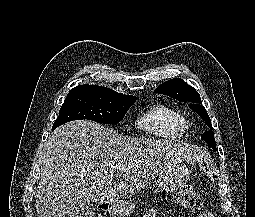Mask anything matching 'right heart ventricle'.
<instances>
[{"label": "right heart ventricle", "mask_w": 255, "mask_h": 217, "mask_svg": "<svg viewBox=\"0 0 255 217\" xmlns=\"http://www.w3.org/2000/svg\"><path fill=\"white\" fill-rule=\"evenodd\" d=\"M143 132L159 138H179L185 132V120L176 109L155 104L143 113L136 122Z\"/></svg>", "instance_id": "right-heart-ventricle-1"}]
</instances>
